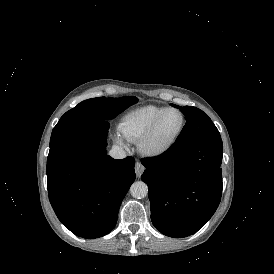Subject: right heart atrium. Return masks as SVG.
Segmentation results:
<instances>
[{
  "label": "right heart atrium",
  "instance_id": "1",
  "mask_svg": "<svg viewBox=\"0 0 274 274\" xmlns=\"http://www.w3.org/2000/svg\"><path fill=\"white\" fill-rule=\"evenodd\" d=\"M117 139L121 142V138L120 137H118Z\"/></svg>",
  "mask_w": 274,
  "mask_h": 274
}]
</instances>
